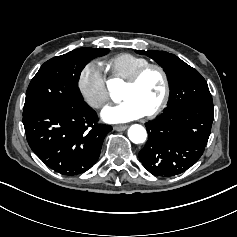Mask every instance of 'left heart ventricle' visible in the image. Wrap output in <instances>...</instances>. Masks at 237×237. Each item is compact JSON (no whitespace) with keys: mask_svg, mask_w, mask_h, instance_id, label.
<instances>
[{"mask_svg":"<svg viewBox=\"0 0 237 237\" xmlns=\"http://www.w3.org/2000/svg\"><path fill=\"white\" fill-rule=\"evenodd\" d=\"M163 95V78L156 69L147 71L137 84H125L121 89V99L132 101L144 114L153 110Z\"/></svg>","mask_w":237,"mask_h":237,"instance_id":"1","label":"left heart ventricle"}]
</instances>
